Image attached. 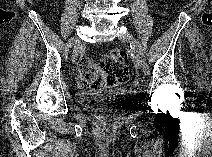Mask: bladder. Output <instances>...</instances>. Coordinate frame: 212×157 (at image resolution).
<instances>
[{"instance_id": "1", "label": "bladder", "mask_w": 212, "mask_h": 157, "mask_svg": "<svg viewBox=\"0 0 212 157\" xmlns=\"http://www.w3.org/2000/svg\"><path fill=\"white\" fill-rule=\"evenodd\" d=\"M136 96V92L129 87L107 89L103 91L80 92L76 96V102L89 112H101V105L118 103L125 105ZM119 110L114 111L113 116H118Z\"/></svg>"}]
</instances>
